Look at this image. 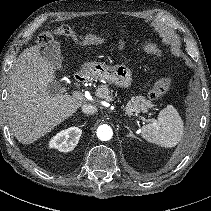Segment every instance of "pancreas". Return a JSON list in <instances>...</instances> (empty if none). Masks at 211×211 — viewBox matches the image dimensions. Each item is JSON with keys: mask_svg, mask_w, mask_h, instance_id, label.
Returning a JSON list of instances; mask_svg holds the SVG:
<instances>
[{"mask_svg": "<svg viewBox=\"0 0 211 211\" xmlns=\"http://www.w3.org/2000/svg\"><path fill=\"white\" fill-rule=\"evenodd\" d=\"M96 96L107 101H114L115 99V96L113 97V90H110L109 86L106 84L100 85L96 90ZM152 106V103L143 96H136L132 97L123 109L128 116H133L134 114L137 115L140 113V111L146 112L148 108H151Z\"/></svg>", "mask_w": 211, "mask_h": 211, "instance_id": "cf45deb5", "label": "pancreas"}]
</instances>
